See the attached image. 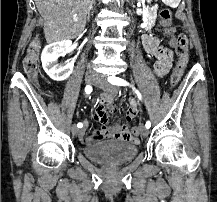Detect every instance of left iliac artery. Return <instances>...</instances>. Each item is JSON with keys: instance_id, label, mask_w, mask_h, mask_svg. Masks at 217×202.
Returning a JSON list of instances; mask_svg holds the SVG:
<instances>
[{"instance_id": "obj_1", "label": "left iliac artery", "mask_w": 217, "mask_h": 202, "mask_svg": "<svg viewBox=\"0 0 217 202\" xmlns=\"http://www.w3.org/2000/svg\"><path fill=\"white\" fill-rule=\"evenodd\" d=\"M108 81H109L111 84H113V85H118V86H127V85H130L128 82H126L125 80H123V79H121V78H111V77H109V78H108ZM130 86L133 88V90H135V92H136L138 98L141 100V99H142V96H141L140 92H139L138 90H136L132 85H130ZM145 127H146L147 129H149V128L151 127L150 121H147V122H146Z\"/></svg>"}]
</instances>
